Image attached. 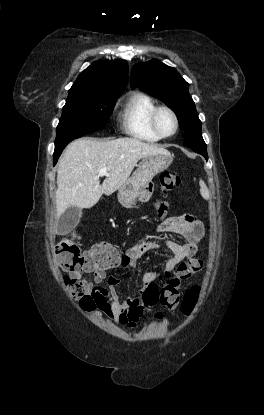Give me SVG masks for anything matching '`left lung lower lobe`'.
Here are the masks:
<instances>
[{
  "instance_id": "1",
  "label": "left lung lower lobe",
  "mask_w": 264,
  "mask_h": 415,
  "mask_svg": "<svg viewBox=\"0 0 264 415\" xmlns=\"http://www.w3.org/2000/svg\"><path fill=\"white\" fill-rule=\"evenodd\" d=\"M191 148L193 151H195L196 153L201 154L202 156L205 157L206 160H208V155H207V151H206V145H199V146H186Z\"/></svg>"
}]
</instances>
